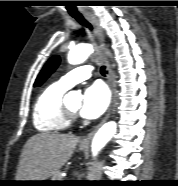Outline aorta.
<instances>
[{
	"label": "aorta",
	"mask_w": 178,
	"mask_h": 186,
	"mask_svg": "<svg viewBox=\"0 0 178 186\" xmlns=\"http://www.w3.org/2000/svg\"><path fill=\"white\" fill-rule=\"evenodd\" d=\"M93 52V47L90 44H79L73 47L68 53V62L73 65L83 63ZM67 99H80L78 93L71 91L66 96ZM117 124L114 121L105 123L95 134L91 151L92 155L97 156L98 152L108 143L112 136L116 133Z\"/></svg>",
	"instance_id": "aorta-1"
}]
</instances>
